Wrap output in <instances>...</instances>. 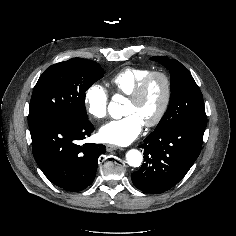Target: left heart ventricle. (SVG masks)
Masks as SVG:
<instances>
[{"label":"left heart ventricle","mask_w":236,"mask_h":236,"mask_svg":"<svg viewBox=\"0 0 236 236\" xmlns=\"http://www.w3.org/2000/svg\"><path fill=\"white\" fill-rule=\"evenodd\" d=\"M164 97L163 81L156 77L148 85L144 95L138 101L128 100L125 114H137L143 122L153 119L158 113Z\"/></svg>","instance_id":"b2bd125f"}]
</instances>
